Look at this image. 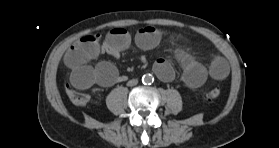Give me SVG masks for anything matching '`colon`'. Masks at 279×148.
Returning <instances> with one entry per match:
<instances>
[{"label":"colon","mask_w":279,"mask_h":148,"mask_svg":"<svg viewBox=\"0 0 279 148\" xmlns=\"http://www.w3.org/2000/svg\"><path fill=\"white\" fill-rule=\"evenodd\" d=\"M67 91L71 101L77 106H85L90 102V96L84 93L77 92L70 87H67ZM221 92L218 88H210L205 91L204 97L208 101H213L220 96Z\"/></svg>","instance_id":"colon-1"}]
</instances>
